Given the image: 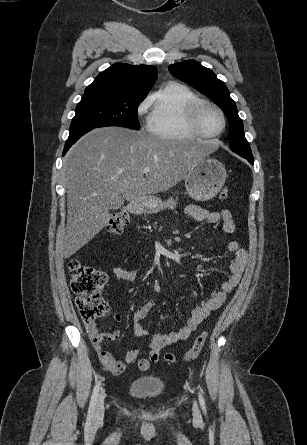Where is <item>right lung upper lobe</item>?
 I'll use <instances>...</instances> for the list:
<instances>
[{
  "instance_id": "right-lung-upper-lobe-1",
  "label": "right lung upper lobe",
  "mask_w": 307,
  "mask_h": 445,
  "mask_svg": "<svg viewBox=\"0 0 307 445\" xmlns=\"http://www.w3.org/2000/svg\"><path fill=\"white\" fill-rule=\"evenodd\" d=\"M157 78L154 66L116 63L101 72L83 96L115 95L146 97Z\"/></svg>"
}]
</instances>
